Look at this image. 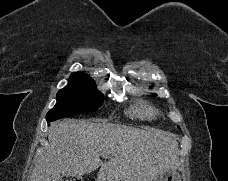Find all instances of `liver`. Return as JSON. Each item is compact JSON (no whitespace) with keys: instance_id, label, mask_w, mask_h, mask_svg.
Wrapping results in <instances>:
<instances>
[{"instance_id":"6515ba94","label":"liver","mask_w":228,"mask_h":181,"mask_svg":"<svg viewBox=\"0 0 228 181\" xmlns=\"http://www.w3.org/2000/svg\"><path fill=\"white\" fill-rule=\"evenodd\" d=\"M48 145L30 181H61L99 169L100 181H155L178 169V143L172 133L112 125L107 119L61 121L51 125ZM107 155L108 161L100 157Z\"/></svg>"}]
</instances>
